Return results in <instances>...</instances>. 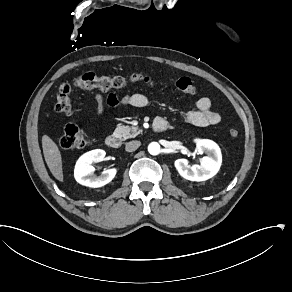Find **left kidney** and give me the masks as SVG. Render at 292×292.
<instances>
[{"instance_id": "left-kidney-1", "label": "left kidney", "mask_w": 292, "mask_h": 292, "mask_svg": "<svg viewBox=\"0 0 292 292\" xmlns=\"http://www.w3.org/2000/svg\"><path fill=\"white\" fill-rule=\"evenodd\" d=\"M198 152H205L207 156L201 159L200 165L188 164L186 159L175 161V167L179 174L191 181H205L217 174L222 163V154L219 146L212 140L195 139Z\"/></svg>"}]
</instances>
